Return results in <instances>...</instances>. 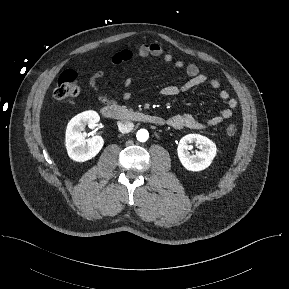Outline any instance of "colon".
I'll list each match as a JSON object with an SVG mask.
<instances>
[{"label": "colon", "mask_w": 289, "mask_h": 289, "mask_svg": "<svg viewBox=\"0 0 289 289\" xmlns=\"http://www.w3.org/2000/svg\"><path fill=\"white\" fill-rule=\"evenodd\" d=\"M79 90L75 71L66 69L60 74L53 95L56 99L62 100L76 96ZM236 132V125L229 124L227 126L226 133L228 136L233 137Z\"/></svg>", "instance_id": "5ec220e1"}]
</instances>
